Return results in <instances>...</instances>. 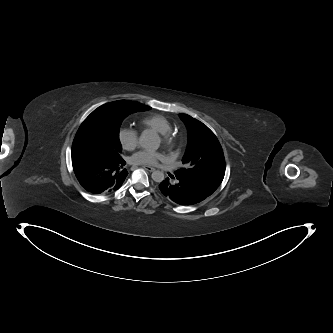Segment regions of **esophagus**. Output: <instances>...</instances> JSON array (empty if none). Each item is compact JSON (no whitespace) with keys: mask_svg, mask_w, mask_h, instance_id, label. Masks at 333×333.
Here are the masks:
<instances>
[{"mask_svg":"<svg viewBox=\"0 0 333 333\" xmlns=\"http://www.w3.org/2000/svg\"><path fill=\"white\" fill-rule=\"evenodd\" d=\"M143 168H144L145 170L149 171V172H153V171H155V168L150 167V166H143Z\"/></svg>","mask_w":333,"mask_h":333,"instance_id":"obj_1","label":"esophagus"}]
</instances>
